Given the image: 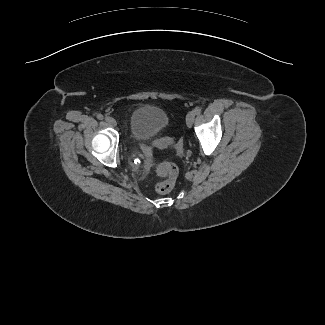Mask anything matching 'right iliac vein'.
<instances>
[{
  "label": "right iliac vein",
  "mask_w": 325,
  "mask_h": 325,
  "mask_svg": "<svg viewBox=\"0 0 325 325\" xmlns=\"http://www.w3.org/2000/svg\"><path fill=\"white\" fill-rule=\"evenodd\" d=\"M105 121L111 126H116V124H117L116 120L110 116L105 117Z\"/></svg>",
  "instance_id": "63e3f726"
}]
</instances>
